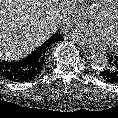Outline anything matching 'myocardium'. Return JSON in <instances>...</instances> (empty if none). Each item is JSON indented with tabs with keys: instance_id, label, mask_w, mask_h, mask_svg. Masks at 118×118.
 Returning <instances> with one entry per match:
<instances>
[{
	"instance_id": "obj_1",
	"label": "myocardium",
	"mask_w": 118,
	"mask_h": 118,
	"mask_svg": "<svg viewBox=\"0 0 118 118\" xmlns=\"http://www.w3.org/2000/svg\"><path fill=\"white\" fill-rule=\"evenodd\" d=\"M118 3V0H111L105 7H103L99 13L101 14H109L113 8L115 7V5ZM113 48L118 49V44H112Z\"/></svg>"
}]
</instances>
